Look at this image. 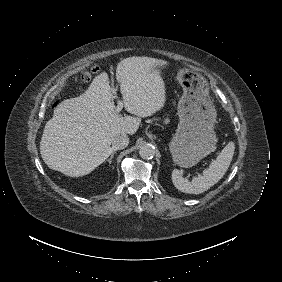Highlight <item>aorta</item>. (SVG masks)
Instances as JSON below:
<instances>
[{"mask_svg":"<svg viewBox=\"0 0 282 282\" xmlns=\"http://www.w3.org/2000/svg\"><path fill=\"white\" fill-rule=\"evenodd\" d=\"M139 155L144 159H151L155 155V148L150 144H143L139 148Z\"/></svg>","mask_w":282,"mask_h":282,"instance_id":"aorta-1","label":"aorta"}]
</instances>
